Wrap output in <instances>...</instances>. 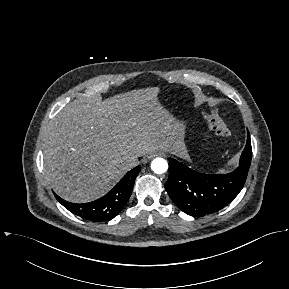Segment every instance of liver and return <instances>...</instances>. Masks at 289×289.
I'll return each mask as SVG.
<instances>
[{
	"mask_svg": "<svg viewBox=\"0 0 289 289\" xmlns=\"http://www.w3.org/2000/svg\"><path fill=\"white\" fill-rule=\"evenodd\" d=\"M159 88L66 106L43 133L45 173L63 199L84 203L107 193L138 158L182 150L180 124L157 98Z\"/></svg>",
	"mask_w": 289,
	"mask_h": 289,
	"instance_id": "6515ba94",
	"label": "liver"
}]
</instances>
